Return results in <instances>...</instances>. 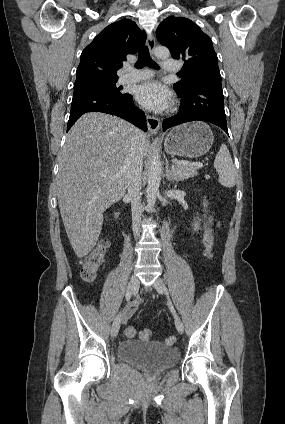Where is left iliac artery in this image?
I'll return each instance as SVG.
<instances>
[{
  "mask_svg": "<svg viewBox=\"0 0 285 424\" xmlns=\"http://www.w3.org/2000/svg\"><path fill=\"white\" fill-rule=\"evenodd\" d=\"M169 306H170V310H171L172 314L175 317L176 316V312H175V309H174V307H173V305H172V303L170 301H169Z\"/></svg>",
  "mask_w": 285,
  "mask_h": 424,
  "instance_id": "left-iliac-artery-1",
  "label": "left iliac artery"
}]
</instances>
